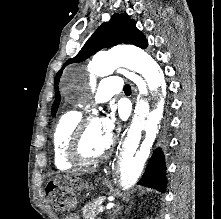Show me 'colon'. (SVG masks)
I'll use <instances>...</instances> for the list:
<instances>
[{
	"label": "colon",
	"instance_id": "1",
	"mask_svg": "<svg viewBox=\"0 0 221 219\" xmlns=\"http://www.w3.org/2000/svg\"><path fill=\"white\" fill-rule=\"evenodd\" d=\"M63 191L65 190L60 182H52L47 187V192L51 200L54 202V204L57 207H62V209L64 210H69L70 209L69 205H60V203H58V196L61 195ZM67 199H69V197H67Z\"/></svg>",
	"mask_w": 221,
	"mask_h": 219
}]
</instances>
